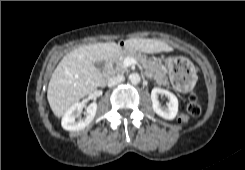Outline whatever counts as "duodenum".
Listing matches in <instances>:
<instances>
[{
	"instance_id": "410a0bca",
	"label": "duodenum",
	"mask_w": 245,
	"mask_h": 170,
	"mask_svg": "<svg viewBox=\"0 0 245 170\" xmlns=\"http://www.w3.org/2000/svg\"><path fill=\"white\" fill-rule=\"evenodd\" d=\"M125 43L124 42H119L115 45V48L113 50V52L107 57L106 63H105V67H104V71H103V77L105 79H110L113 77L114 75V71H113V58L115 56V54L119 51L120 48L124 47Z\"/></svg>"
}]
</instances>
